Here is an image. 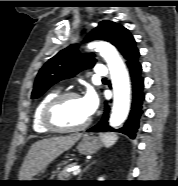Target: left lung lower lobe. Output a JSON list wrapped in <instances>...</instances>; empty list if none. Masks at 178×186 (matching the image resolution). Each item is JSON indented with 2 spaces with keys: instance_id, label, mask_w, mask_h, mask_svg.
<instances>
[{
  "instance_id": "obj_1",
  "label": "left lung lower lobe",
  "mask_w": 178,
  "mask_h": 186,
  "mask_svg": "<svg viewBox=\"0 0 178 186\" xmlns=\"http://www.w3.org/2000/svg\"><path fill=\"white\" fill-rule=\"evenodd\" d=\"M139 56L140 54H137L126 62L132 82L133 99L131 110L124 126L115 130L108 125L109 106L107 102H105V110L102 119L95 126L87 130L88 132L117 131L126 134L131 139L136 137L139 129V120L143 114L142 105L145 99V94L143 93L144 78L141 76L142 66L138 60Z\"/></svg>"
}]
</instances>
